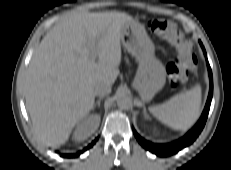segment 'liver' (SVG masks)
Listing matches in <instances>:
<instances>
[{"label":"liver","mask_w":231,"mask_h":170,"mask_svg":"<svg viewBox=\"0 0 231 170\" xmlns=\"http://www.w3.org/2000/svg\"><path fill=\"white\" fill-rule=\"evenodd\" d=\"M122 12L63 15L42 39L24 78V94L36 137L58 148L94 106V86L113 84L119 74ZM98 58V62H96Z\"/></svg>","instance_id":"6515ba94"}]
</instances>
